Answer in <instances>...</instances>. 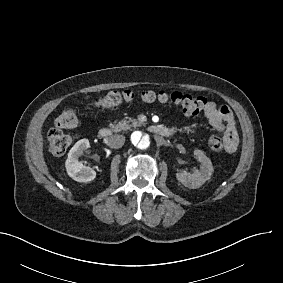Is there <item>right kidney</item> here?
Instances as JSON below:
<instances>
[{"label": "right kidney", "instance_id": "ca27d5eb", "mask_svg": "<svg viewBox=\"0 0 283 283\" xmlns=\"http://www.w3.org/2000/svg\"><path fill=\"white\" fill-rule=\"evenodd\" d=\"M89 148V140L81 139L70 149L66 161L67 173L78 182L91 181L96 177V172L91 167L82 164L78 158L85 149Z\"/></svg>", "mask_w": 283, "mask_h": 283}]
</instances>
